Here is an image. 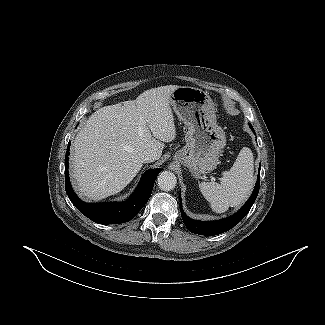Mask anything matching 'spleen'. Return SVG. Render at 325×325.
Wrapping results in <instances>:
<instances>
[{
  "instance_id": "spleen-1",
  "label": "spleen",
  "mask_w": 325,
  "mask_h": 325,
  "mask_svg": "<svg viewBox=\"0 0 325 325\" xmlns=\"http://www.w3.org/2000/svg\"><path fill=\"white\" fill-rule=\"evenodd\" d=\"M254 159L248 147H243L230 170L222 173L221 183L202 182L200 191L216 212L238 206L249 196L254 184Z\"/></svg>"
}]
</instances>
